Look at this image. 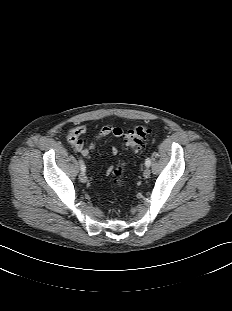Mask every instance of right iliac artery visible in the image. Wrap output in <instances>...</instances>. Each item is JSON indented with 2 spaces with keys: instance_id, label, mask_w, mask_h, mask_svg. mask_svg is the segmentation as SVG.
Returning a JSON list of instances; mask_svg holds the SVG:
<instances>
[{
  "instance_id": "1",
  "label": "right iliac artery",
  "mask_w": 232,
  "mask_h": 311,
  "mask_svg": "<svg viewBox=\"0 0 232 311\" xmlns=\"http://www.w3.org/2000/svg\"><path fill=\"white\" fill-rule=\"evenodd\" d=\"M79 163H80V168H81V171L84 173V172H85V170H86V169H85L86 167H85V164H84L83 160H82V159H80V160H79Z\"/></svg>"
}]
</instances>
